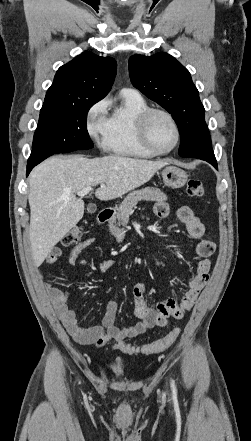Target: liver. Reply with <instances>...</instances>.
I'll use <instances>...</instances> for the list:
<instances>
[{"label":"liver","instance_id":"liver-1","mask_svg":"<svg viewBox=\"0 0 251 441\" xmlns=\"http://www.w3.org/2000/svg\"><path fill=\"white\" fill-rule=\"evenodd\" d=\"M169 161H151L120 155L88 159L80 155L51 157L29 177V238L35 265L40 266L53 247L82 219L84 201L75 193L97 184L100 200H112L148 182Z\"/></svg>","mask_w":251,"mask_h":441}]
</instances>
